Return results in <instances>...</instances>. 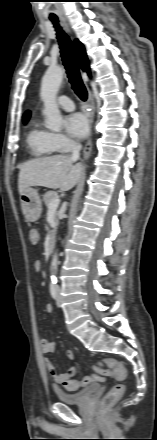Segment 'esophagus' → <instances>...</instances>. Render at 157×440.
<instances>
[{
  "mask_svg": "<svg viewBox=\"0 0 157 440\" xmlns=\"http://www.w3.org/2000/svg\"><path fill=\"white\" fill-rule=\"evenodd\" d=\"M94 110H95L94 98H93L91 91L88 89V99H87V103H86V111H87L90 129L92 127L93 120H94ZM91 151H92V141H91V137H90L88 139L84 149H83V158L84 159L89 158Z\"/></svg>",
  "mask_w": 157,
  "mask_h": 440,
  "instance_id": "esophagus-1",
  "label": "esophagus"
}]
</instances>
